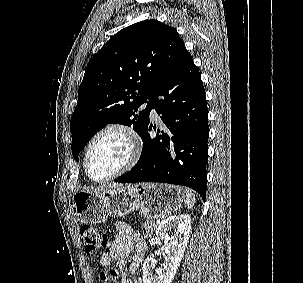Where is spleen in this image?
<instances>
[{"mask_svg":"<svg viewBox=\"0 0 303 283\" xmlns=\"http://www.w3.org/2000/svg\"><path fill=\"white\" fill-rule=\"evenodd\" d=\"M184 194L186 197L185 206L190 209L195 205L196 198L190 190H186Z\"/></svg>","mask_w":303,"mask_h":283,"instance_id":"spleen-1","label":"spleen"}]
</instances>
